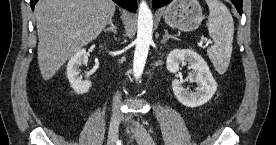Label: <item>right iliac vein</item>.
Returning a JSON list of instances; mask_svg holds the SVG:
<instances>
[{"mask_svg":"<svg viewBox=\"0 0 276 145\" xmlns=\"http://www.w3.org/2000/svg\"><path fill=\"white\" fill-rule=\"evenodd\" d=\"M122 117L115 115L111 118L109 131H108V145H116L119 136V125L121 123Z\"/></svg>","mask_w":276,"mask_h":145,"instance_id":"63e3f726","label":"right iliac vein"}]
</instances>
